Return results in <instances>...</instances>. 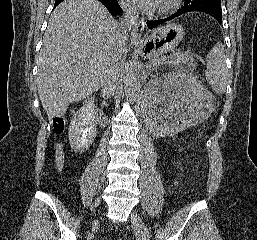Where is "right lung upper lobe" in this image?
Listing matches in <instances>:
<instances>
[{"label": "right lung upper lobe", "instance_id": "obj_1", "mask_svg": "<svg viewBox=\"0 0 257 240\" xmlns=\"http://www.w3.org/2000/svg\"><path fill=\"white\" fill-rule=\"evenodd\" d=\"M63 0H56L55 1V5H58L59 3H61Z\"/></svg>", "mask_w": 257, "mask_h": 240}]
</instances>
